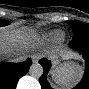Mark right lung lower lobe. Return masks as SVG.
Returning a JSON list of instances; mask_svg holds the SVG:
<instances>
[{"label":"right lung lower lobe","instance_id":"right-lung-lower-lobe-1","mask_svg":"<svg viewBox=\"0 0 89 89\" xmlns=\"http://www.w3.org/2000/svg\"><path fill=\"white\" fill-rule=\"evenodd\" d=\"M31 64V59L21 63H0L1 89H15L19 78L28 72Z\"/></svg>","mask_w":89,"mask_h":89}]
</instances>
